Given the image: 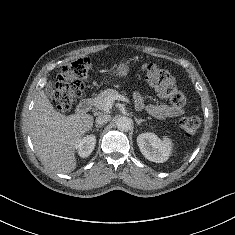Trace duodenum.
<instances>
[{"label": "duodenum", "mask_w": 235, "mask_h": 235, "mask_svg": "<svg viewBox=\"0 0 235 235\" xmlns=\"http://www.w3.org/2000/svg\"><path fill=\"white\" fill-rule=\"evenodd\" d=\"M92 104L93 102L91 98H84L78 104L77 111L81 114L87 113L92 108Z\"/></svg>", "instance_id": "410a0bca"}]
</instances>
